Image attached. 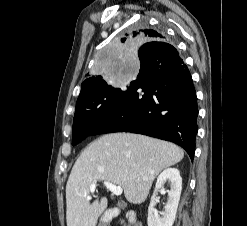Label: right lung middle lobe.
<instances>
[{
  "mask_svg": "<svg viewBox=\"0 0 247 226\" xmlns=\"http://www.w3.org/2000/svg\"><path fill=\"white\" fill-rule=\"evenodd\" d=\"M122 94L121 89H113V86L101 81L93 90L78 97L73 120L72 145L93 134Z\"/></svg>",
  "mask_w": 247,
  "mask_h": 226,
  "instance_id": "dd1d6c3e",
  "label": "right lung middle lobe"
}]
</instances>
